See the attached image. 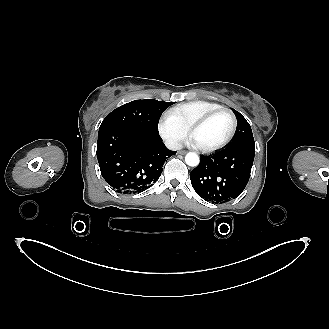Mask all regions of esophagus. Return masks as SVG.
<instances>
[{
	"label": "esophagus",
	"instance_id": "esophagus-1",
	"mask_svg": "<svg viewBox=\"0 0 329 329\" xmlns=\"http://www.w3.org/2000/svg\"><path fill=\"white\" fill-rule=\"evenodd\" d=\"M178 153L181 154V155H184V154H186L187 152H186L185 150H182V151H179Z\"/></svg>",
	"mask_w": 329,
	"mask_h": 329
}]
</instances>
